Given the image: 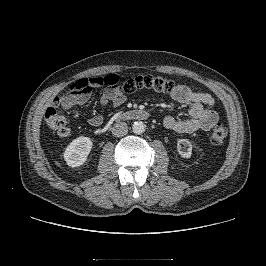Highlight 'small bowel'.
Here are the masks:
<instances>
[{
	"label": "small bowel",
	"instance_id": "obj_1",
	"mask_svg": "<svg viewBox=\"0 0 266 266\" xmlns=\"http://www.w3.org/2000/svg\"><path fill=\"white\" fill-rule=\"evenodd\" d=\"M171 97L178 103L190 105V118L181 120L173 116H167L164 119V126L167 129L179 133H193L200 130L208 131L218 122V113L214 110L215 101L209 94L194 91L190 87L180 84L172 91ZM89 98L90 93H71L56 98L54 103L60 105L65 110H69L74 105L86 103ZM100 101L104 106L118 107L124 103L125 97L113 89H105ZM88 122L93 127H99L103 123V117L96 114L91 116ZM62 135H66V133Z\"/></svg>",
	"mask_w": 266,
	"mask_h": 266
}]
</instances>
